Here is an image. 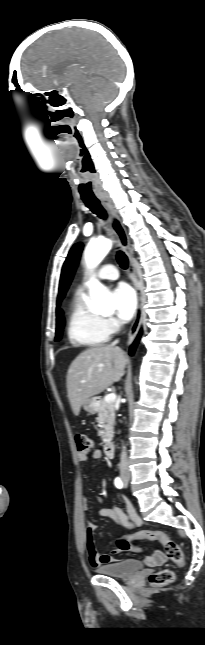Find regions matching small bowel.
Masks as SVG:
<instances>
[{"label":"small bowel","instance_id":"c3829d8e","mask_svg":"<svg viewBox=\"0 0 205 645\" xmlns=\"http://www.w3.org/2000/svg\"><path fill=\"white\" fill-rule=\"evenodd\" d=\"M91 457L94 459H98L101 457V452L96 449L92 452ZM87 459H88L87 455H81V454L78 455V460L80 462H85ZM124 502L126 505L127 513H124L120 508L116 506H108L100 509L98 512V516L101 518L108 517L112 519L114 522L126 528H131V527L140 525L141 523L140 519L131 501L128 498L124 497ZM88 507H89L88 499L84 497L83 509L86 511L88 510ZM95 527L96 526L93 523H90L87 526L86 534H85V545H86L90 564L93 567H98L103 564H109L117 561L116 555L120 553L118 548L113 549L109 554H101L96 549L93 541V536H92L93 531L95 530ZM165 561H166V556L160 550H157L153 555L147 556L144 558V563L148 566L161 565Z\"/></svg>","mask_w":205,"mask_h":645}]
</instances>
